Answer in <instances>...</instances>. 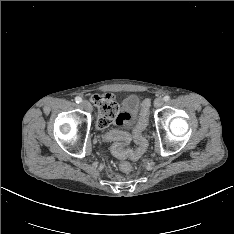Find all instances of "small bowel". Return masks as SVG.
Listing matches in <instances>:
<instances>
[{"label":"small bowel","mask_w":234,"mask_h":234,"mask_svg":"<svg viewBox=\"0 0 234 234\" xmlns=\"http://www.w3.org/2000/svg\"><path fill=\"white\" fill-rule=\"evenodd\" d=\"M139 102H140V99L137 96L131 97L126 102L124 110H125V112L128 113L126 116L127 121H129V122L134 121V119L136 117V113H138L142 110V106L139 104ZM122 125H119V126L121 127Z\"/></svg>","instance_id":"obj_1"}]
</instances>
